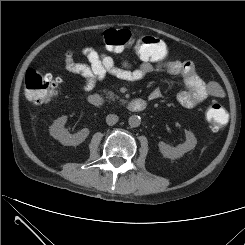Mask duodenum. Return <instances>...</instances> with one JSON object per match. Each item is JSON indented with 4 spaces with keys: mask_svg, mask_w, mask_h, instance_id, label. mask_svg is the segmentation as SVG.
I'll return each instance as SVG.
<instances>
[{
    "mask_svg": "<svg viewBox=\"0 0 245 245\" xmlns=\"http://www.w3.org/2000/svg\"><path fill=\"white\" fill-rule=\"evenodd\" d=\"M88 103L93 107H100L103 104V98L100 94L93 93L87 97ZM147 108V101L144 99H134L127 103L126 109L130 112H141Z\"/></svg>",
    "mask_w": 245,
    "mask_h": 245,
    "instance_id": "duodenum-1",
    "label": "duodenum"
}]
</instances>
